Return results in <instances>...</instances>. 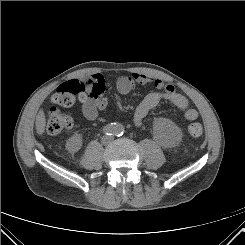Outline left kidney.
I'll return each mask as SVG.
<instances>
[{"label":"left kidney","instance_id":"5707ae66","mask_svg":"<svg viewBox=\"0 0 245 245\" xmlns=\"http://www.w3.org/2000/svg\"><path fill=\"white\" fill-rule=\"evenodd\" d=\"M154 132L167 147L175 146L182 137L180 128L169 119H158L154 124Z\"/></svg>","mask_w":245,"mask_h":245}]
</instances>
